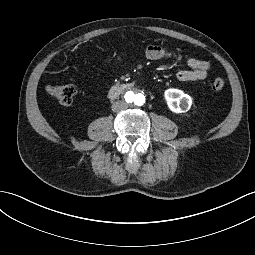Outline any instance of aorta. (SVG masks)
Wrapping results in <instances>:
<instances>
[{
    "instance_id": "aorta-1",
    "label": "aorta",
    "mask_w": 255,
    "mask_h": 255,
    "mask_svg": "<svg viewBox=\"0 0 255 255\" xmlns=\"http://www.w3.org/2000/svg\"><path fill=\"white\" fill-rule=\"evenodd\" d=\"M125 100L129 105L142 106L145 103V96L136 89H130L125 93Z\"/></svg>"
}]
</instances>
